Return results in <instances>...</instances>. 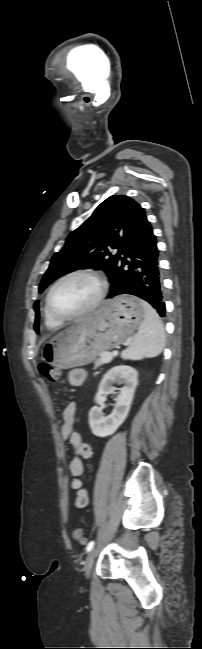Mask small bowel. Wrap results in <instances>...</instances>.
I'll return each mask as SVG.
<instances>
[{"instance_id": "c3829d8e", "label": "small bowel", "mask_w": 202, "mask_h": 649, "mask_svg": "<svg viewBox=\"0 0 202 649\" xmlns=\"http://www.w3.org/2000/svg\"><path fill=\"white\" fill-rule=\"evenodd\" d=\"M86 379V371L82 368H76L69 373V382L73 386H80ZM75 423V404H67L62 411V424L60 427V436L63 442H68L71 447L72 457L69 462V472L73 478L72 486L76 490L75 505L83 508L88 503L87 491L82 487L81 477L84 473L82 459L91 456V448L82 441L79 432L74 430ZM66 450H63V455Z\"/></svg>"}]
</instances>
